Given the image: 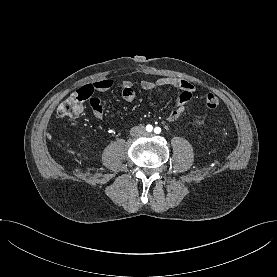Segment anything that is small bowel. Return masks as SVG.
Wrapping results in <instances>:
<instances>
[{
	"label": "small bowel",
	"instance_id": "c3829d8e",
	"mask_svg": "<svg viewBox=\"0 0 277 277\" xmlns=\"http://www.w3.org/2000/svg\"><path fill=\"white\" fill-rule=\"evenodd\" d=\"M113 84V80L107 78L96 81L92 84L85 85L79 90H89L92 96L93 94H99L109 90ZM140 87L144 90L155 91L157 93H161L165 87L177 88L181 91L175 100L174 108L166 116L168 121H175L183 115L186 105L191 100L193 94L196 92V87L193 83L174 77L158 78L153 81L146 79L141 80ZM121 94L125 101H133L135 98L134 84L128 80L124 81L122 83ZM90 105L94 116L99 120H104V110L99 98L91 97Z\"/></svg>",
	"mask_w": 277,
	"mask_h": 277
}]
</instances>
